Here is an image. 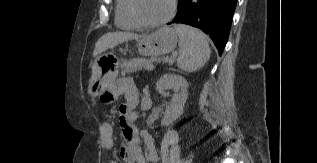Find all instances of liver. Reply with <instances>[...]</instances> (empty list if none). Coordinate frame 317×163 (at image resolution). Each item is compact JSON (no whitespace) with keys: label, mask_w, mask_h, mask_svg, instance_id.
<instances>
[{"label":"liver","mask_w":317,"mask_h":163,"mask_svg":"<svg viewBox=\"0 0 317 163\" xmlns=\"http://www.w3.org/2000/svg\"><path fill=\"white\" fill-rule=\"evenodd\" d=\"M142 36L129 32H110L103 35L95 44L93 57L130 40H138Z\"/></svg>","instance_id":"liver-1"}]
</instances>
